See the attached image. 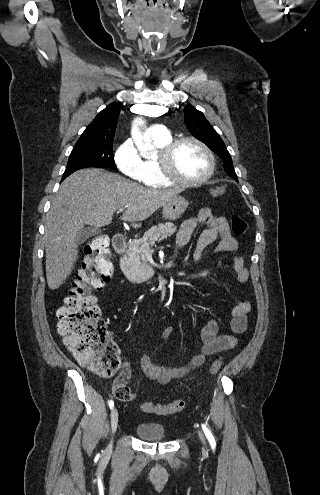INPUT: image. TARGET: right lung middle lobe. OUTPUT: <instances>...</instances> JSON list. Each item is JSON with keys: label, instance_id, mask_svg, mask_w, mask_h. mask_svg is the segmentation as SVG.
Here are the masks:
<instances>
[{"label": "right lung middle lobe", "instance_id": "right-lung-middle-lobe-1", "mask_svg": "<svg viewBox=\"0 0 320 495\" xmlns=\"http://www.w3.org/2000/svg\"><path fill=\"white\" fill-rule=\"evenodd\" d=\"M112 147V143L75 145L70 154L63 179L82 168L97 167L115 169L116 165L113 159Z\"/></svg>", "mask_w": 320, "mask_h": 495}]
</instances>
